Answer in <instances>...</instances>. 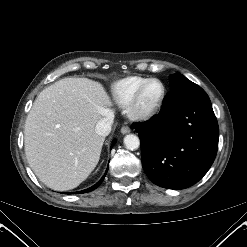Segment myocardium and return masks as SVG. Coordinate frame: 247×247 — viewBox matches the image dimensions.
I'll return each mask as SVG.
<instances>
[{"mask_svg": "<svg viewBox=\"0 0 247 247\" xmlns=\"http://www.w3.org/2000/svg\"><path fill=\"white\" fill-rule=\"evenodd\" d=\"M153 82H157L161 85L162 87L161 97L153 108L146 110V111H142L138 108L139 100L145 88ZM166 94H167L166 86L160 79L149 78L137 88L129 104L127 105V112H128L129 117L137 121H145V120L152 118L160 111L165 101Z\"/></svg>", "mask_w": 247, "mask_h": 247, "instance_id": "obj_1", "label": "myocardium"}]
</instances>
